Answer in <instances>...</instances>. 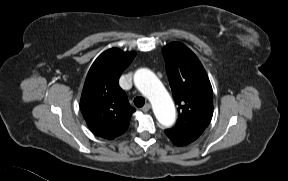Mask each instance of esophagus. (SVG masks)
<instances>
[{"instance_id":"esophagus-1","label":"esophagus","mask_w":288,"mask_h":181,"mask_svg":"<svg viewBox=\"0 0 288 181\" xmlns=\"http://www.w3.org/2000/svg\"><path fill=\"white\" fill-rule=\"evenodd\" d=\"M150 108H151V105L149 103H147L142 107V111L147 112L150 110Z\"/></svg>"}]
</instances>
